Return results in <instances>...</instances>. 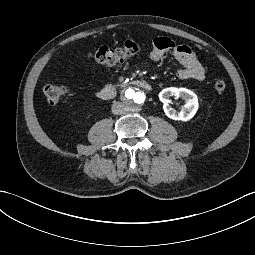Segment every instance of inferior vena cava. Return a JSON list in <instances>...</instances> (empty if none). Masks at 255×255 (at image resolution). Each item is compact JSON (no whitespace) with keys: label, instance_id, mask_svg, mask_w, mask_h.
<instances>
[{"label":"inferior vena cava","instance_id":"inferior-vena-cava-1","mask_svg":"<svg viewBox=\"0 0 255 255\" xmlns=\"http://www.w3.org/2000/svg\"><path fill=\"white\" fill-rule=\"evenodd\" d=\"M113 114H123L125 112V106L122 102H114L112 105Z\"/></svg>","mask_w":255,"mask_h":255}]
</instances>
